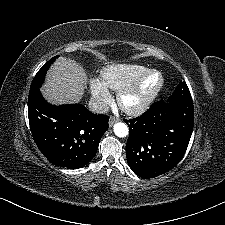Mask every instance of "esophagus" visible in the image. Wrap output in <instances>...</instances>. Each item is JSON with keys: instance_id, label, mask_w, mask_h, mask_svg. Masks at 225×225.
Here are the masks:
<instances>
[{"instance_id": "esophagus-1", "label": "esophagus", "mask_w": 225, "mask_h": 225, "mask_svg": "<svg viewBox=\"0 0 225 225\" xmlns=\"http://www.w3.org/2000/svg\"><path fill=\"white\" fill-rule=\"evenodd\" d=\"M119 121V118L115 117V116H111L109 118V127H112L116 122Z\"/></svg>"}]
</instances>
